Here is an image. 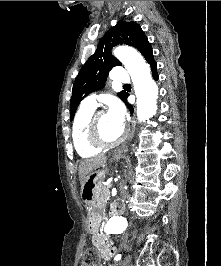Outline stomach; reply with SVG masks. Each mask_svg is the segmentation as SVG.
<instances>
[{
    "mask_svg": "<svg viewBox=\"0 0 221 266\" xmlns=\"http://www.w3.org/2000/svg\"><path fill=\"white\" fill-rule=\"evenodd\" d=\"M105 170L90 172L81 184L80 196L83 202L89 207L88 225L95 229L100 217V211L105 205V197L102 192V179Z\"/></svg>",
    "mask_w": 221,
    "mask_h": 266,
    "instance_id": "obj_1",
    "label": "stomach"
}]
</instances>
